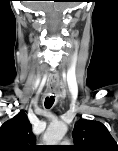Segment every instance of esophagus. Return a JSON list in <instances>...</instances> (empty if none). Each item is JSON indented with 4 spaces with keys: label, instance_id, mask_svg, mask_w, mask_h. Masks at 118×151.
Instances as JSON below:
<instances>
[{
    "label": "esophagus",
    "instance_id": "1",
    "mask_svg": "<svg viewBox=\"0 0 118 151\" xmlns=\"http://www.w3.org/2000/svg\"><path fill=\"white\" fill-rule=\"evenodd\" d=\"M53 93V89H50V92H49V94L51 95Z\"/></svg>",
    "mask_w": 118,
    "mask_h": 151
}]
</instances>
